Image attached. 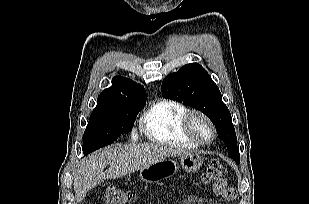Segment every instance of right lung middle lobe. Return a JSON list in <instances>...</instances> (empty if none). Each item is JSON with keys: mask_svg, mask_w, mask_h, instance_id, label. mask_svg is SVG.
<instances>
[{"mask_svg": "<svg viewBox=\"0 0 309 204\" xmlns=\"http://www.w3.org/2000/svg\"><path fill=\"white\" fill-rule=\"evenodd\" d=\"M145 99L97 105L84 133V155L113 143L121 134H127L132 129L137 114L144 107Z\"/></svg>", "mask_w": 309, "mask_h": 204, "instance_id": "1", "label": "right lung middle lobe"}]
</instances>
